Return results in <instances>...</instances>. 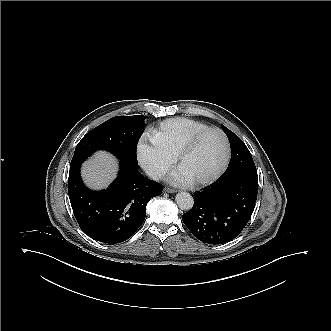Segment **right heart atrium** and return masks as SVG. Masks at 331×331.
Listing matches in <instances>:
<instances>
[{
	"label": "right heart atrium",
	"mask_w": 331,
	"mask_h": 331,
	"mask_svg": "<svg viewBox=\"0 0 331 331\" xmlns=\"http://www.w3.org/2000/svg\"><path fill=\"white\" fill-rule=\"evenodd\" d=\"M136 155L141 167L154 179L163 178L174 162V155L157 149L146 137L140 140Z\"/></svg>",
	"instance_id": "1"
}]
</instances>
